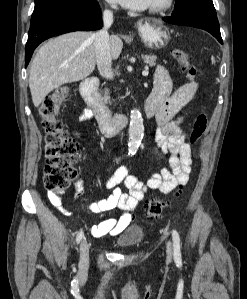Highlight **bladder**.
<instances>
[{"mask_svg":"<svg viewBox=\"0 0 247 299\" xmlns=\"http://www.w3.org/2000/svg\"><path fill=\"white\" fill-rule=\"evenodd\" d=\"M144 239V231L139 226H132L125 230L116 240V245L121 248H134L139 246Z\"/></svg>","mask_w":247,"mask_h":299,"instance_id":"bladder-1","label":"bladder"}]
</instances>
